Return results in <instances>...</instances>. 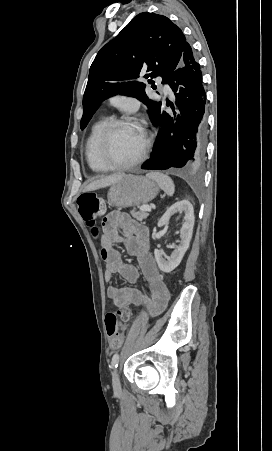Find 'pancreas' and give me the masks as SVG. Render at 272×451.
Instances as JSON below:
<instances>
[{
	"label": "pancreas",
	"mask_w": 272,
	"mask_h": 451,
	"mask_svg": "<svg viewBox=\"0 0 272 451\" xmlns=\"http://www.w3.org/2000/svg\"><path fill=\"white\" fill-rule=\"evenodd\" d=\"M130 214L132 218H135V220H139V222H142V220H146V218H148L149 216L147 212H136L135 208L134 210H131Z\"/></svg>",
	"instance_id": "1"
}]
</instances>
